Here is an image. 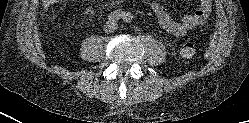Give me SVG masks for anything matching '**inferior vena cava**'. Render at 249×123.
<instances>
[{
	"mask_svg": "<svg viewBox=\"0 0 249 123\" xmlns=\"http://www.w3.org/2000/svg\"><path fill=\"white\" fill-rule=\"evenodd\" d=\"M115 28V24H112V23H107V25H105V31L106 32H110L112 31L113 29Z\"/></svg>",
	"mask_w": 249,
	"mask_h": 123,
	"instance_id": "1",
	"label": "inferior vena cava"
}]
</instances>
